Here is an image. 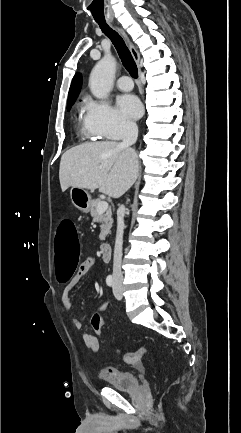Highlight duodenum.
Segmentation results:
<instances>
[{"instance_id":"obj_1","label":"duodenum","mask_w":241,"mask_h":433,"mask_svg":"<svg viewBox=\"0 0 241 433\" xmlns=\"http://www.w3.org/2000/svg\"><path fill=\"white\" fill-rule=\"evenodd\" d=\"M112 247L109 243H103L100 246V253L103 261L107 262L111 258Z\"/></svg>"}]
</instances>
